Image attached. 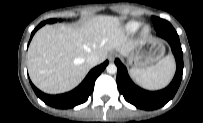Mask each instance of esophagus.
Here are the masks:
<instances>
[{
    "mask_svg": "<svg viewBox=\"0 0 203 123\" xmlns=\"http://www.w3.org/2000/svg\"><path fill=\"white\" fill-rule=\"evenodd\" d=\"M115 57H116V54H115V53H112V54H110V56H109V60H110V61H113V60L115 59Z\"/></svg>",
    "mask_w": 203,
    "mask_h": 123,
    "instance_id": "1",
    "label": "esophagus"
}]
</instances>
